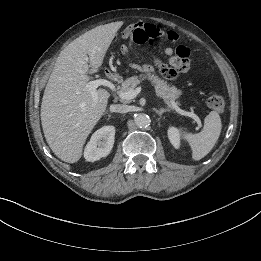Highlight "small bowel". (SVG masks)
<instances>
[{"label":"small bowel","mask_w":261,"mask_h":261,"mask_svg":"<svg viewBox=\"0 0 261 261\" xmlns=\"http://www.w3.org/2000/svg\"><path fill=\"white\" fill-rule=\"evenodd\" d=\"M131 41H133L131 36ZM134 42V41H133ZM152 48H154V42L151 44ZM131 49L130 45H124L121 48L123 54L127 55ZM179 49L181 52H179ZM165 55L167 56V66L173 71V75L171 79H174L179 73L186 72L190 67V50L188 47L180 45L175 50L171 47L165 49ZM138 68L152 72V68L148 64L138 65L134 64Z\"/></svg>","instance_id":"obj_1"}]
</instances>
